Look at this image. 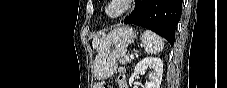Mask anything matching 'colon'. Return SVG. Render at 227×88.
Returning <instances> with one entry per match:
<instances>
[{
	"label": "colon",
	"instance_id": "colon-1",
	"mask_svg": "<svg viewBox=\"0 0 227 88\" xmlns=\"http://www.w3.org/2000/svg\"><path fill=\"white\" fill-rule=\"evenodd\" d=\"M96 88H108V86L105 84H100V85H97Z\"/></svg>",
	"mask_w": 227,
	"mask_h": 88
}]
</instances>
